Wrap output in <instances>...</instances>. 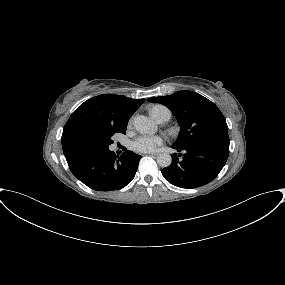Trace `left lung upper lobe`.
<instances>
[{
	"mask_svg": "<svg viewBox=\"0 0 285 285\" xmlns=\"http://www.w3.org/2000/svg\"><path fill=\"white\" fill-rule=\"evenodd\" d=\"M150 101L167 106L178 120L181 131L172 146L185 148L207 142L229 146L226 120L218 107L204 96L182 90Z\"/></svg>",
	"mask_w": 285,
	"mask_h": 285,
	"instance_id": "left-lung-upper-lobe-1",
	"label": "left lung upper lobe"
}]
</instances>
